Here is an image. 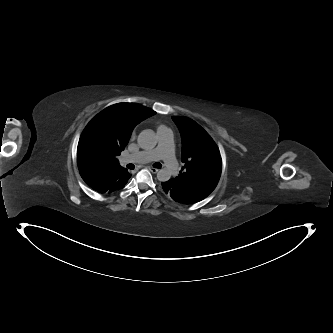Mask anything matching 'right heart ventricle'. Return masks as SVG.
Listing matches in <instances>:
<instances>
[{"instance_id":"obj_1","label":"right heart ventricle","mask_w":333,"mask_h":333,"mask_svg":"<svg viewBox=\"0 0 333 333\" xmlns=\"http://www.w3.org/2000/svg\"><path fill=\"white\" fill-rule=\"evenodd\" d=\"M163 128H165L164 125H159V126L157 127V131H159L160 129H163Z\"/></svg>"}]
</instances>
